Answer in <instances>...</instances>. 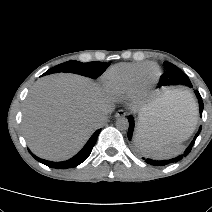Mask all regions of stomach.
Returning <instances> with one entry per match:
<instances>
[{
	"label": "stomach",
	"instance_id": "0dacf381",
	"mask_svg": "<svg viewBox=\"0 0 212 212\" xmlns=\"http://www.w3.org/2000/svg\"><path fill=\"white\" fill-rule=\"evenodd\" d=\"M148 112H149V110H148V109H146V110L142 111V112H141V114H143V115H149V113H148Z\"/></svg>",
	"mask_w": 212,
	"mask_h": 212
}]
</instances>
